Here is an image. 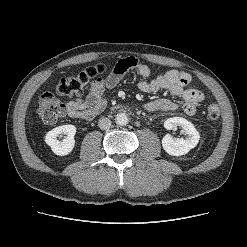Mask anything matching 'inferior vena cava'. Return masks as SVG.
Instances as JSON below:
<instances>
[{
	"label": "inferior vena cava",
	"instance_id": "inferior-vena-cava-1",
	"mask_svg": "<svg viewBox=\"0 0 247 247\" xmlns=\"http://www.w3.org/2000/svg\"><path fill=\"white\" fill-rule=\"evenodd\" d=\"M98 126L102 130H107L111 126V120L106 117H102L99 119Z\"/></svg>",
	"mask_w": 247,
	"mask_h": 247
}]
</instances>
